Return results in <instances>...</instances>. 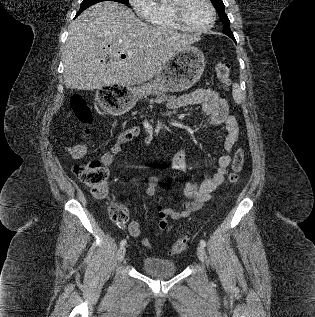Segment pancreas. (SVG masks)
Instances as JSON below:
<instances>
[{
    "label": "pancreas",
    "instance_id": "pancreas-1",
    "mask_svg": "<svg viewBox=\"0 0 315 317\" xmlns=\"http://www.w3.org/2000/svg\"><path fill=\"white\" fill-rule=\"evenodd\" d=\"M173 97L171 96H166L165 95V91L163 92H158L157 93V98L156 99H150V102H155V103H161V102H165L167 101L168 99H172Z\"/></svg>",
    "mask_w": 315,
    "mask_h": 317
}]
</instances>
